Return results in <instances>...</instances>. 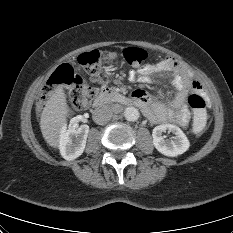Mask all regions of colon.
Wrapping results in <instances>:
<instances>
[{"mask_svg": "<svg viewBox=\"0 0 233 233\" xmlns=\"http://www.w3.org/2000/svg\"><path fill=\"white\" fill-rule=\"evenodd\" d=\"M122 55L131 66H140L147 59L146 51L138 47L125 48ZM78 61L91 75L97 74L100 70L101 55L98 50H91L80 54ZM59 87L66 88L70 102L76 109L89 107L97 93L93 86L74 73L72 66L62 64L53 72L41 90L37 106L42 108L49 96ZM186 101L194 111L193 133L200 134L205 129L207 122L205 100L200 94L193 93L187 97Z\"/></svg>", "mask_w": 233, "mask_h": 233, "instance_id": "5ec220e1", "label": "colon"}]
</instances>
